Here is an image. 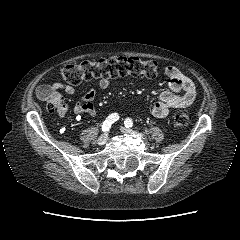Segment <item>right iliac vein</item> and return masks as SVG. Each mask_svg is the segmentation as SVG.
<instances>
[{"mask_svg": "<svg viewBox=\"0 0 240 240\" xmlns=\"http://www.w3.org/2000/svg\"><path fill=\"white\" fill-rule=\"evenodd\" d=\"M108 140V133L102 134L97 140L98 145H104Z\"/></svg>", "mask_w": 240, "mask_h": 240, "instance_id": "1", "label": "right iliac vein"}]
</instances>
